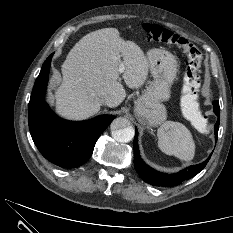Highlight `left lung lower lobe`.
<instances>
[{
  "label": "left lung lower lobe",
  "instance_id": "obj_1",
  "mask_svg": "<svg viewBox=\"0 0 233 233\" xmlns=\"http://www.w3.org/2000/svg\"><path fill=\"white\" fill-rule=\"evenodd\" d=\"M214 106V113L219 117L220 107L217 101L213 102ZM215 136L217 140L218 136V129H219V119L215 124ZM210 156L206 159V161L202 162L201 164L194 165L188 167L178 173L175 174H166L156 171L155 169L149 167L141 158L138 149V132L136 129V134L134 137V164L135 168L139 174V176L147 183L154 185V186H165L171 187L181 184L182 181L190 179L198 174L207 164L211 157Z\"/></svg>",
  "mask_w": 233,
  "mask_h": 233
}]
</instances>
